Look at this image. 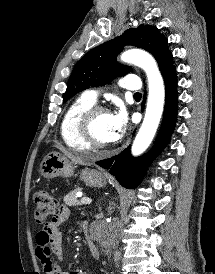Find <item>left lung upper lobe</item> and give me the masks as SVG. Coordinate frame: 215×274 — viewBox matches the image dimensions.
<instances>
[{
	"mask_svg": "<svg viewBox=\"0 0 215 274\" xmlns=\"http://www.w3.org/2000/svg\"><path fill=\"white\" fill-rule=\"evenodd\" d=\"M126 45L137 46L151 53L158 62L162 75L173 67L167 38L152 25H140L95 47L78 61L68 82L63 103L80 91L102 86L109 83L114 76H123L130 72L131 67L120 65L116 61V56Z\"/></svg>",
	"mask_w": 215,
	"mask_h": 274,
	"instance_id": "1",
	"label": "left lung upper lobe"
}]
</instances>
